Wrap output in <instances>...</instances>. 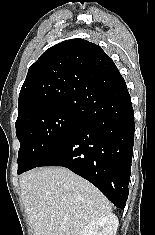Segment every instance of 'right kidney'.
<instances>
[{
	"label": "right kidney",
	"instance_id": "ca27d5eb",
	"mask_svg": "<svg viewBox=\"0 0 155 235\" xmlns=\"http://www.w3.org/2000/svg\"><path fill=\"white\" fill-rule=\"evenodd\" d=\"M118 218L114 214L103 215L90 222L80 235H116Z\"/></svg>",
	"mask_w": 155,
	"mask_h": 235
}]
</instances>
